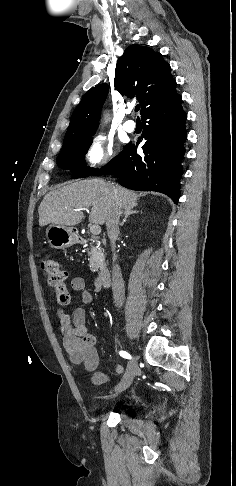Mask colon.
Returning <instances> with one entry per match:
<instances>
[{
	"label": "colon",
	"mask_w": 236,
	"mask_h": 486,
	"mask_svg": "<svg viewBox=\"0 0 236 486\" xmlns=\"http://www.w3.org/2000/svg\"><path fill=\"white\" fill-rule=\"evenodd\" d=\"M41 267L49 286L55 290L57 301L62 305L68 304L70 293L65 285V271L54 258L49 256H45L41 260Z\"/></svg>",
	"instance_id": "5ec220e1"
}]
</instances>
